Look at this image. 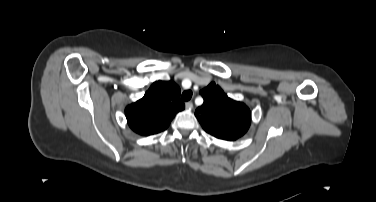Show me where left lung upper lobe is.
<instances>
[{
	"instance_id": "1",
	"label": "left lung upper lobe",
	"mask_w": 376,
	"mask_h": 202,
	"mask_svg": "<svg viewBox=\"0 0 376 202\" xmlns=\"http://www.w3.org/2000/svg\"><path fill=\"white\" fill-rule=\"evenodd\" d=\"M200 93L204 103L196 109L195 116L207 133L234 141L247 132L251 113L245 104L230 99L214 82Z\"/></svg>"
}]
</instances>
